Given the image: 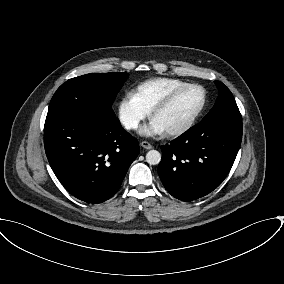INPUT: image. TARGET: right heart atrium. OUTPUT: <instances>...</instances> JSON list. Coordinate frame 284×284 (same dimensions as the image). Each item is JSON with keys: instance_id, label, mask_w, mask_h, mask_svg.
I'll return each instance as SVG.
<instances>
[{"instance_id": "right-heart-atrium-1", "label": "right heart atrium", "mask_w": 284, "mask_h": 284, "mask_svg": "<svg viewBox=\"0 0 284 284\" xmlns=\"http://www.w3.org/2000/svg\"><path fill=\"white\" fill-rule=\"evenodd\" d=\"M149 115V111L137 100L134 93H126L118 102L117 116L127 130H135Z\"/></svg>"}]
</instances>
